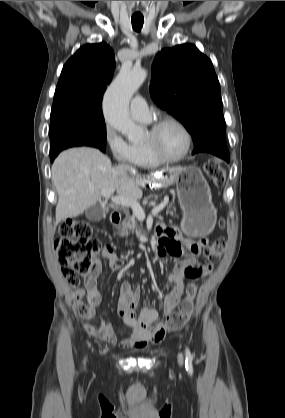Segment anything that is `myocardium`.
<instances>
[{
    "label": "myocardium",
    "instance_id": "myocardium-1",
    "mask_svg": "<svg viewBox=\"0 0 285 418\" xmlns=\"http://www.w3.org/2000/svg\"><path fill=\"white\" fill-rule=\"evenodd\" d=\"M167 124H173L176 125L177 127H179L181 129V131L183 132L184 136H185V147L183 152L177 156V157H173V158H169L164 156L159 150L158 148L154 145L153 141L150 142H145V146L149 152V154L158 162L160 163H165V164H172V163H177L180 162L182 160H184L187 155L189 154L190 150H191V146H192V136L191 133L189 131V129L178 119L173 118V117H164L161 118L157 121H155L150 129V135L152 138H154V136L157 134V132L164 126Z\"/></svg>",
    "mask_w": 285,
    "mask_h": 418
}]
</instances>
